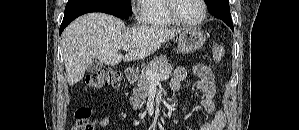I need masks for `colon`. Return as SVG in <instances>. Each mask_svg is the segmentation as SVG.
<instances>
[{
	"instance_id": "obj_1",
	"label": "colon",
	"mask_w": 299,
	"mask_h": 130,
	"mask_svg": "<svg viewBox=\"0 0 299 130\" xmlns=\"http://www.w3.org/2000/svg\"><path fill=\"white\" fill-rule=\"evenodd\" d=\"M214 62H220L225 54V49L220 44L211 46ZM122 74L113 69L100 70L89 75L86 79V89L93 90L103 86L117 87L121 84ZM91 109L87 107L79 108L75 112V124L71 130H95L94 123L90 120Z\"/></svg>"
}]
</instances>
